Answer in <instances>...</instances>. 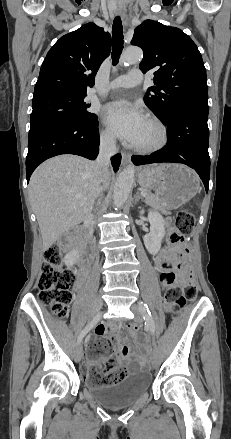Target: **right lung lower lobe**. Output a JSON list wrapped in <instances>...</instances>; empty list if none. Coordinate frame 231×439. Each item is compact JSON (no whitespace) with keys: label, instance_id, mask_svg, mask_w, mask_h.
Masks as SVG:
<instances>
[{"label":"right lung lower lobe","instance_id":"98d812e1","mask_svg":"<svg viewBox=\"0 0 231 439\" xmlns=\"http://www.w3.org/2000/svg\"><path fill=\"white\" fill-rule=\"evenodd\" d=\"M98 120L64 118L30 129L26 178L29 181L35 168L48 158L60 154H76L94 160L99 151ZM116 172L121 163V154L111 158Z\"/></svg>","mask_w":231,"mask_h":439}]
</instances>
